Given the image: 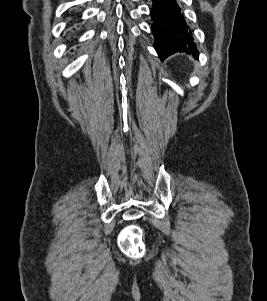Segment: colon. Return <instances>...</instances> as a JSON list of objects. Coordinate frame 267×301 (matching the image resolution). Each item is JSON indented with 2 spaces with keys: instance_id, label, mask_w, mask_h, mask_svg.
Masks as SVG:
<instances>
[{
  "instance_id": "5ec220e1",
  "label": "colon",
  "mask_w": 267,
  "mask_h": 301,
  "mask_svg": "<svg viewBox=\"0 0 267 301\" xmlns=\"http://www.w3.org/2000/svg\"><path fill=\"white\" fill-rule=\"evenodd\" d=\"M119 246L127 256L132 258L141 257L145 252L141 228L137 225L125 228L119 237Z\"/></svg>"
}]
</instances>
